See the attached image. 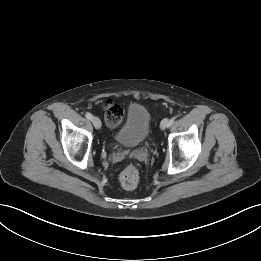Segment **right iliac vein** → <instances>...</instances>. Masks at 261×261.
Returning <instances> with one entry per match:
<instances>
[{
    "label": "right iliac vein",
    "mask_w": 261,
    "mask_h": 261,
    "mask_svg": "<svg viewBox=\"0 0 261 261\" xmlns=\"http://www.w3.org/2000/svg\"><path fill=\"white\" fill-rule=\"evenodd\" d=\"M92 123L96 129L101 128V120L98 117H93L92 118Z\"/></svg>",
    "instance_id": "63e3f726"
}]
</instances>
